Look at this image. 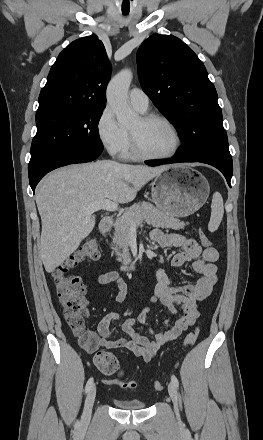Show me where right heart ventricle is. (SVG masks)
Listing matches in <instances>:
<instances>
[{
	"instance_id": "e07e8e85",
	"label": "right heart ventricle",
	"mask_w": 263,
	"mask_h": 440,
	"mask_svg": "<svg viewBox=\"0 0 263 440\" xmlns=\"http://www.w3.org/2000/svg\"><path fill=\"white\" fill-rule=\"evenodd\" d=\"M122 155L124 156V157H127V158H131V157H133L134 155L132 154V152H131V147H130V143H129V141H128V143H127V145L125 146V148L122 150Z\"/></svg>"
}]
</instances>
